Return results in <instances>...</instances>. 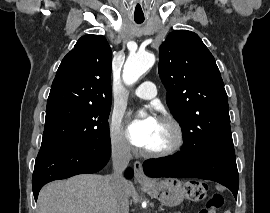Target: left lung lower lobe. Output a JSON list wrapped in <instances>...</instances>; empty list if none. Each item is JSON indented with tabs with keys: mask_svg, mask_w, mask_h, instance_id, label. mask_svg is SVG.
<instances>
[{
	"mask_svg": "<svg viewBox=\"0 0 270 213\" xmlns=\"http://www.w3.org/2000/svg\"><path fill=\"white\" fill-rule=\"evenodd\" d=\"M144 172L150 177H194L218 182L237 199L239 176L233 148L207 151L184 141L180 153L144 162Z\"/></svg>",
	"mask_w": 270,
	"mask_h": 213,
	"instance_id": "left-lung-lower-lobe-1",
	"label": "left lung lower lobe"
}]
</instances>
